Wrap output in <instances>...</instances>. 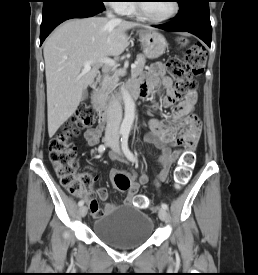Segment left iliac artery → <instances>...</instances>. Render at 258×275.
<instances>
[{
	"instance_id": "1",
	"label": "left iliac artery",
	"mask_w": 258,
	"mask_h": 275,
	"mask_svg": "<svg viewBox=\"0 0 258 275\" xmlns=\"http://www.w3.org/2000/svg\"><path fill=\"white\" fill-rule=\"evenodd\" d=\"M128 137H129V132L126 131L123 133L122 138H121V146H122V150L125 154V156L132 162L136 161L135 156L133 155V153L130 151L129 147H128ZM161 207L165 210L168 209V205L166 203H162Z\"/></svg>"
}]
</instances>
